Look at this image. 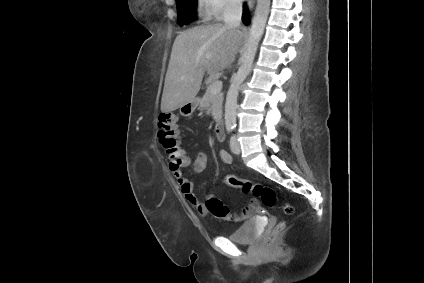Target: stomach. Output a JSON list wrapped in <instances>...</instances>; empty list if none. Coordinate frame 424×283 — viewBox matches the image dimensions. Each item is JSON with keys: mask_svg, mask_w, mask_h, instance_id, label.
Returning a JSON list of instances; mask_svg holds the SVG:
<instances>
[{"mask_svg": "<svg viewBox=\"0 0 424 283\" xmlns=\"http://www.w3.org/2000/svg\"><path fill=\"white\" fill-rule=\"evenodd\" d=\"M187 109H190L191 111H193L195 109V104H194L193 101L192 102H189V103H186L182 107H180V113L183 116H187L188 113L185 112Z\"/></svg>", "mask_w": 424, "mask_h": 283, "instance_id": "1", "label": "stomach"}]
</instances>
